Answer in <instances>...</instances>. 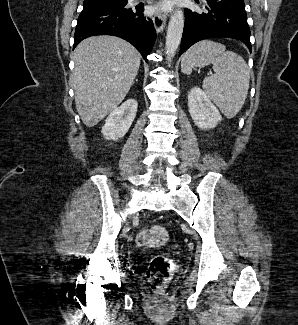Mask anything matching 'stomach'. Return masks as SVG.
I'll return each instance as SVG.
<instances>
[{
  "instance_id": "obj_1",
  "label": "stomach",
  "mask_w": 298,
  "mask_h": 325,
  "mask_svg": "<svg viewBox=\"0 0 298 325\" xmlns=\"http://www.w3.org/2000/svg\"><path fill=\"white\" fill-rule=\"evenodd\" d=\"M184 62H185V56H183L182 58V64H184Z\"/></svg>"
}]
</instances>
